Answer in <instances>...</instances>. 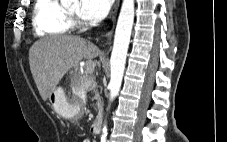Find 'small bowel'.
<instances>
[{
	"instance_id": "c3829d8e",
	"label": "small bowel",
	"mask_w": 227,
	"mask_h": 142,
	"mask_svg": "<svg viewBox=\"0 0 227 142\" xmlns=\"http://www.w3.org/2000/svg\"><path fill=\"white\" fill-rule=\"evenodd\" d=\"M83 142H91L89 139H85Z\"/></svg>"
}]
</instances>
